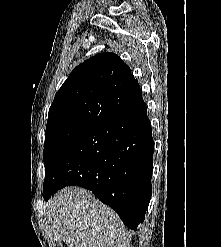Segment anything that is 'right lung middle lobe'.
<instances>
[{
    "instance_id": "right-lung-middle-lobe-1",
    "label": "right lung middle lobe",
    "mask_w": 221,
    "mask_h": 247,
    "mask_svg": "<svg viewBox=\"0 0 221 247\" xmlns=\"http://www.w3.org/2000/svg\"><path fill=\"white\" fill-rule=\"evenodd\" d=\"M90 128L87 125L70 124L46 129L44 144L45 180L66 149Z\"/></svg>"
}]
</instances>
